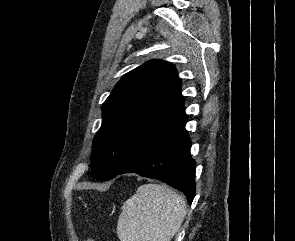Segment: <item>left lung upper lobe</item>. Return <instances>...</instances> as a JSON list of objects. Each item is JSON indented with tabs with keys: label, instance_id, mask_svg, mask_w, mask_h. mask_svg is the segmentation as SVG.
Returning <instances> with one entry per match:
<instances>
[{
	"label": "left lung upper lobe",
	"instance_id": "5c2ea615",
	"mask_svg": "<svg viewBox=\"0 0 295 241\" xmlns=\"http://www.w3.org/2000/svg\"><path fill=\"white\" fill-rule=\"evenodd\" d=\"M181 81L167 61H149L125 74L103 103L92 144L91 169L103 181L163 133L187 120Z\"/></svg>",
	"mask_w": 295,
	"mask_h": 241
}]
</instances>
